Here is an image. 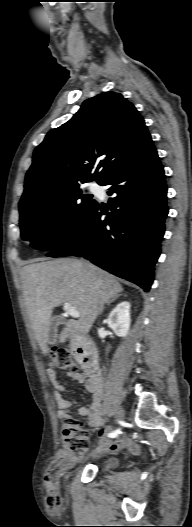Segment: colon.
I'll list each match as a JSON object with an SVG mask.
<instances>
[{
    "mask_svg": "<svg viewBox=\"0 0 192 527\" xmlns=\"http://www.w3.org/2000/svg\"><path fill=\"white\" fill-rule=\"evenodd\" d=\"M52 364L62 370L77 373V361L66 350H55L52 355ZM61 437L66 455L78 459L84 456L89 447V432L74 418L66 419L61 428ZM55 503V498H49Z\"/></svg>",
    "mask_w": 192,
    "mask_h": 527,
    "instance_id": "1",
    "label": "colon"
}]
</instances>
